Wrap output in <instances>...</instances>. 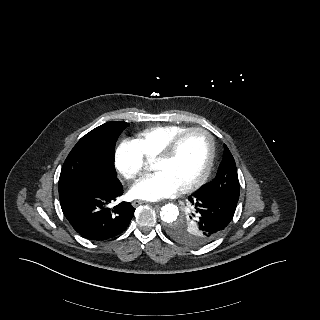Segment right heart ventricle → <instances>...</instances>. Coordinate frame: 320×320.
Listing matches in <instances>:
<instances>
[{
    "instance_id": "1",
    "label": "right heart ventricle",
    "mask_w": 320,
    "mask_h": 320,
    "mask_svg": "<svg viewBox=\"0 0 320 320\" xmlns=\"http://www.w3.org/2000/svg\"><path fill=\"white\" fill-rule=\"evenodd\" d=\"M188 127L182 125H160L138 133L134 138L138 149L147 160H154L166 145Z\"/></svg>"
}]
</instances>
